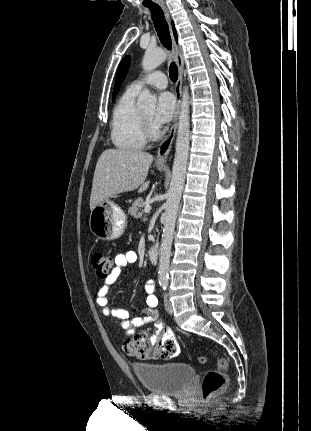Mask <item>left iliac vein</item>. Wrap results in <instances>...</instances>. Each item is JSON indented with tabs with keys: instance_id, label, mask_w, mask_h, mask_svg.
<instances>
[{
	"instance_id": "left-iliac-vein-1",
	"label": "left iliac vein",
	"mask_w": 311,
	"mask_h": 431,
	"mask_svg": "<svg viewBox=\"0 0 311 431\" xmlns=\"http://www.w3.org/2000/svg\"><path fill=\"white\" fill-rule=\"evenodd\" d=\"M164 305H165L166 312L169 314H172L173 313V307H172V304H171L167 294L164 296Z\"/></svg>"
}]
</instances>
